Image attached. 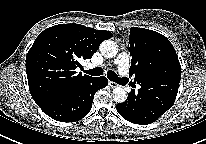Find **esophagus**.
I'll return each mask as SVG.
<instances>
[{
  "label": "esophagus",
  "instance_id": "1",
  "mask_svg": "<svg viewBox=\"0 0 206 144\" xmlns=\"http://www.w3.org/2000/svg\"><path fill=\"white\" fill-rule=\"evenodd\" d=\"M109 86H110L111 88H115V87L118 86V84H117L116 82H114V81H109Z\"/></svg>",
  "mask_w": 206,
  "mask_h": 144
}]
</instances>
